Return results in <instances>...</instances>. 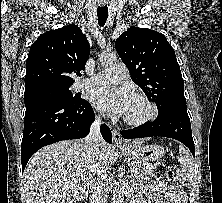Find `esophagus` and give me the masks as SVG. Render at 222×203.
Listing matches in <instances>:
<instances>
[{"label":"esophagus","instance_id":"esophagus-1","mask_svg":"<svg viewBox=\"0 0 222 203\" xmlns=\"http://www.w3.org/2000/svg\"><path fill=\"white\" fill-rule=\"evenodd\" d=\"M112 138H113V144L116 147H122L125 146L126 143L124 142V140L122 139L119 131L117 129H113L112 130Z\"/></svg>","mask_w":222,"mask_h":203}]
</instances>
